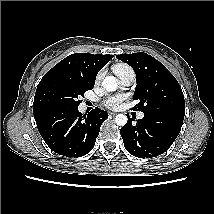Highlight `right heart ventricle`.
Here are the masks:
<instances>
[{
    "instance_id": "right-heart-ventricle-1",
    "label": "right heart ventricle",
    "mask_w": 214,
    "mask_h": 214,
    "mask_svg": "<svg viewBox=\"0 0 214 214\" xmlns=\"http://www.w3.org/2000/svg\"><path fill=\"white\" fill-rule=\"evenodd\" d=\"M129 66L125 65V64H116L113 67L114 72L116 73L118 70L122 69V68H128Z\"/></svg>"
}]
</instances>
